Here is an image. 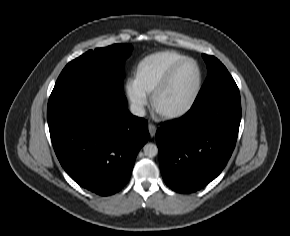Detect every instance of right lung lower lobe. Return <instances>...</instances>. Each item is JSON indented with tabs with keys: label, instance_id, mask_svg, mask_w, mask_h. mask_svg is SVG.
Returning <instances> with one entry per match:
<instances>
[{
	"label": "right lung lower lobe",
	"instance_id": "1",
	"mask_svg": "<svg viewBox=\"0 0 290 236\" xmlns=\"http://www.w3.org/2000/svg\"><path fill=\"white\" fill-rule=\"evenodd\" d=\"M47 120L64 170L102 196L128 182L136 156L150 137L147 121L127 110L122 93L50 96Z\"/></svg>",
	"mask_w": 290,
	"mask_h": 236
}]
</instances>
